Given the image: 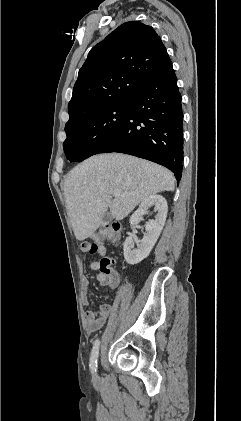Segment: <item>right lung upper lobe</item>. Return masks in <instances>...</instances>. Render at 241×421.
<instances>
[{
    "label": "right lung upper lobe",
    "instance_id": "cb5924a9",
    "mask_svg": "<svg viewBox=\"0 0 241 421\" xmlns=\"http://www.w3.org/2000/svg\"><path fill=\"white\" fill-rule=\"evenodd\" d=\"M167 58L166 48L152 27L136 21L120 25L90 50L79 70L66 126L128 101Z\"/></svg>",
    "mask_w": 241,
    "mask_h": 421
}]
</instances>
